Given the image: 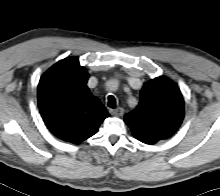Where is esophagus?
Wrapping results in <instances>:
<instances>
[{"label":"esophagus","instance_id":"esophagus-1","mask_svg":"<svg viewBox=\"0 0 220 196\" xmlns=\"http://www.w3.org/2000/svg\"><path fill=\"white\" fill-rule=\"evenodd\" d=\"M110 113L114 116H122L124 114V110L122 107H118L115 109H111Z\"/></svg>","mask_w":220,"mask_h":196}]
</instances>
